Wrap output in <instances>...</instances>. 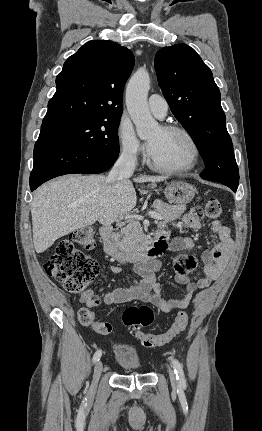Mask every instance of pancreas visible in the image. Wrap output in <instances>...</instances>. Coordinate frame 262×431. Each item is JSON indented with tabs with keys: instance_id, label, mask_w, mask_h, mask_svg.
I'll list each match as a JSON object with an SVG mask.
<instances>
[{
	"instance_id": "pancreas-1",
	"label": "pancreas",
	"mask_w": 262,
	"mask_h": 431,
	"mask_svg": "<svg viewBox=\"0 0 262 431\" xmlns=\"http://www.w3.org/2000/svg\"><path fill=\"white\" fill-rule=\"evenodd\" d=\"M153 208L162 217L161 225L174 221L186 210L184 205H169L161 200H155ZM115 242L120 251L132 254L141 251L145 245L144 233L140 223L130 220L128 225L120 230L115 237Z\"/></svg>"
}]
</instances>
